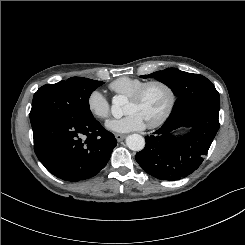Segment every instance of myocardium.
<instances>
[{"label":"myocardium","mask_w":245,"mask_h":245,"mask_svg":"<svg viewBox=\"0 0 245 245\" xmlns=\"http://www.w3.org/2000/svg\"><path fill=\"white\" fill-rule=\"evenodd\" d=\"M153 86H160L162 87L168 94L169 100H168V104L167 107L165 109V111L163 112V114L155 121L148 123L146 126L149 129H154L157 127H160L162 124H164L166 122V120L170 117V115L172 114L175 105H176V101H177V96H176V92L174 90V88L167 82L162 81V80H151L148 82H145L143 85H141L134 93H132L129 96V100L133 101V102H138L140 101L144 94L146 93V91Z\"/></svg>","instance_id":"obj_1"}]
</instances>
